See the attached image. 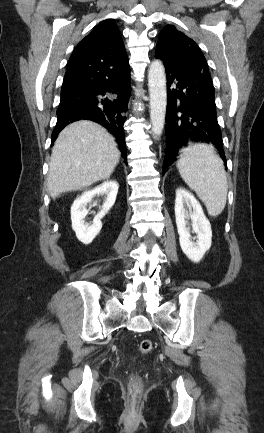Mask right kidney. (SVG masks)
Masks as SVG:
<instances>
[{
  "label": "right kidney",
  "instance_id": "ca27d5eb",
  "mask_svg": "<svg viewBox=\"0 0 264 433\" xmlns=\"http://www.w3.org/2000/svg\"><path fill=\"white\" fill-rule=\"evenodd\" d=\"M119 185L116 181H106L92 190L84 192L76 198L71 207L72 229L76 237L84 244H90L99 234L102 228L101 219L107 214L114 205L118 193ZM106 196L102 210L94 217L91 225L85 223V217L88 214L87 205L95 196Z\"/></svg>",
  "mask_w": 264,
  "mask_h": 433
}]
</instances>
